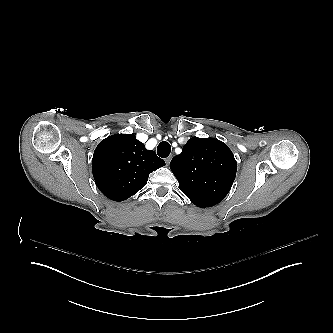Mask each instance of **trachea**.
<instances>
[{"instance_id": "1", "label": "trachea", "mask_w": 333, "mask_h": 333, "mask_svg": "<svg viewBox=\"0 0 333 333\" xmlns=\"http://www.w3.org/2000/svg\"><path fill=\"white\" fill-rule=\"evenodd\" d=\"M171 152L170 144L166 141H162L157 148V153L160 157L166 158Z\"/></svg>"}]
</instances>
